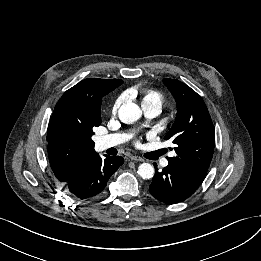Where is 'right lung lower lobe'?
Masks as SVG:
<instances>
[{
	"label": "right lung lower lobe",
	"instance_id": "98d812e1",
	"mask_svg": "<svg viewBox=\"0 0 261 261\" xmlns=\"http://www.w3.org/2000/svg\"><path fill=\"white\" fill-rule=\"evenodd\" d=\"M124 163L121 156L102 159L96 152L64 182L66 192L77 200L89 201L103 193L109 178Z\"/></svg>",
	"mask_w": 261,
	"mask_h": 261
}]
</instances>
